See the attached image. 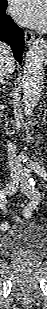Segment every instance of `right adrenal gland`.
I'll return each instance as SVG.
<instances>
[{"instance_id": "1", "label": "right adrenal gland", "mask_w": 47, "mask_h": 309, "mask_svg": "<svg viewBox=\"0 0 47 309\" xmlns=\"http://www.w3.org/2000/svg\"><path fill=\"white\" fill-rule=\"evenodd\" d=\"M0 85H3V87L5 88L6 87V85H7V81L5 80V78H4V76L2 77H0Z\"/></svg>"}]
</instances>
